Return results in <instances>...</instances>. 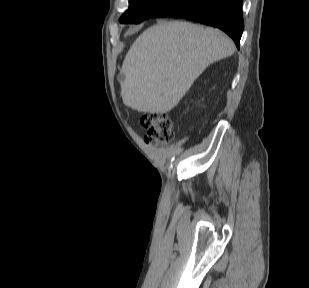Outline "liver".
<instances>
[{
    "label": "liver",
    "mask_w": 309,
    "mask_h": 288,
    "mask_svg": "<svg viewBox=\"0 0 309 288\" xmlns=\"http://www.w3.org/2000/svg\"><path fill=\"white\" fill-rule=\"evenodd\" d=\"M223 32L183 21H161L146 29L124 59L123 103L138 112L167 113L212 63L231 56Z\"/></svg>",
    "instance_id": "liver-1"
}]
</instances>
